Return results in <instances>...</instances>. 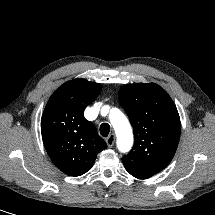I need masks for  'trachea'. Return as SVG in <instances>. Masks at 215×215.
<instances>
[{
  "label": "trachea",
  "mask_w": 215,
  "mask_h": 215,
  "mask_svg": "<svg viewBox=\"0 0 215 215\" xmlns=\"http://www.w3.org/2000/svg\"><path fill=\"white\" fill-rule=\"evenodd\" d=\"M110 132V126L107 123H103L100 126V134L104 137H107Z\"/></svg>",
  "instance_id": "3493384b"
}]
</instances>
